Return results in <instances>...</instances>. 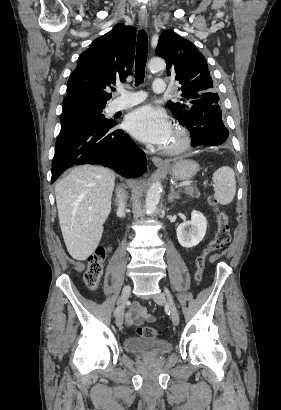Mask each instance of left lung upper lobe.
I'll return each mask as SVG.
<instances>
[{"label":"left lung upper lobe","mask_w":281,"mask_h":410,"mask_svg":"<svg viewBox=\"0 0 281 410\" xmlns=\"http://www.w3.org/2000/svg\"><path fill=\"white\" fill-rule=\"evenodd\" d=\"M156 54L165 59L167 75L182 85L178 88L182 92L180 101L167 103L180 124L186 120L193 104L219 103L206 59L194 44L172 30H164Z\"/></svg>","instance_id":"obj_1"}]
</instances>
